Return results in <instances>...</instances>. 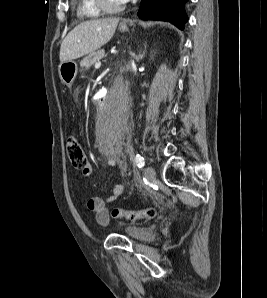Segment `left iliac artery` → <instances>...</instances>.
<instances>
[{"label": "left iliac artery", "mask_w": 267, "mask_h": 298, "mask_svg": "<svg viewBox=\"0 0 267 298\" xmlns=\"http://www.w3.org/2000/svg\"><path fill=\"white\" fill-rule=\"evenodd\" d=\"M135 162L139 168H143L145 165V159L140 154H137L135 157Z\"/></svg>", "instance_id": "1"}]
</instances>
